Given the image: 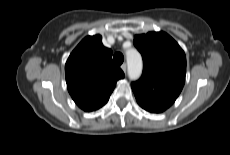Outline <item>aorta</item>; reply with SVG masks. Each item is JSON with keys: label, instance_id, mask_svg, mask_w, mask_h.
I'll return each mask as SVG.
<instances>
[{"label": "aorta", "instance_id": "aorta-1", "mask_svg": "<svg viewBox=\"0 0 230 155\" xmlns=\"http://www.w3.org/2000/svg\"><path fill=\"white\" fill-rule=\"evenodd\" d=\"M128 75L132 80H136L142 73V58L138 51L129 50L126 52Z\"/></svg>", "mask_w": 230, "mask_h": 155}]
</instances>
